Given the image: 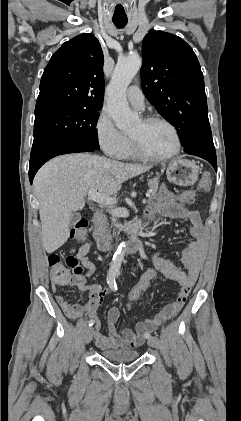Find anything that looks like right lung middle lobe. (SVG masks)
<instances>
[{
	"mask_svg": "<svg viewBox=\"0 0 241 421\" xmlns=\"http://www.w3.org/2000/svg\"><path fill=\"white\" fill-rule=\"evenodd\" d=\"M101 108L49 106L35 109L32 150L74 142L99 149L96 125Z\"/></svg>",
	"mask_w": 241,
	"mask_h": 421,
	"instance_id": "right-lung-middle-lobe-1",
	"label": "right lung middle lobe"
}]
</instances>
